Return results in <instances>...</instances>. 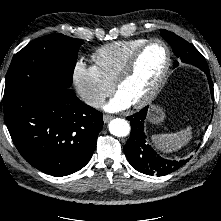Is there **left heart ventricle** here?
Instances as JSON below:
<instances>
[{
  "label": "left heart ventricle",
  "mask_w": 221,
  "mask_h": 221,
  "mask_svg": "<svg viewBox=\"0 0 221 221\" xmlns=\"http://www.w3.org/2000/svg\"><path fill=\"white\" fill-rule=\"evenodd\" d=\"M166 62V52L162 45L153 44L140 55L130 78L120 87L131 103L146 96L158 81Z\"/></svg>",
  "instance_id": "obj_1"
}]
</instances>
